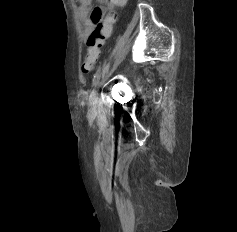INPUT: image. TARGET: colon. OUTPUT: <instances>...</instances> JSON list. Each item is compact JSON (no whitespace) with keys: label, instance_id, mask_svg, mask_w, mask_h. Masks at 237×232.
<instances>
[{"label":"colon","instance_id":"colon-1","mask_svg":"<svg viewBox=\"0 0 237 232\" xmlns=\"http://www.w3.org/2000/svg\"><path fill=\"white\" fill-rule=\"evenodd\" d=\"M112 2L113 6L109 10L104 21L98 24L95 30L87 38V54L81 66L84 73H89L94 68L101 48L110 35L112 27L117 20L118 11L126 5L127 0H112Z\"/></svg>","mask_w":237,"mask_h":232}]
</instances>
